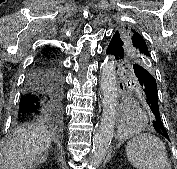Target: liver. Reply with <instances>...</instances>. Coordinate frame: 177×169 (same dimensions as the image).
<instances>
[{
    "label": "liver",
    "instance_id": "obj_1",
    "mask_svg": "<svg viewBox=\"0 0 177 169\" xmlns=\"http://www.w3.org/2000/svg\"><path fill=\"white\" fill-rule=\"evenodd\" d=\"M51 144V136L43 127L24 130L6 146L2 169H33L43 162Z\"/></svg>",
    "mask_w": 177,
    "mask_h": 169
}]
</instances>
